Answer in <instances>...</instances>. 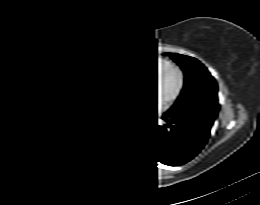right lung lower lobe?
Here are the masks:
<instances>
[{"label": "right lung lower lobe", "mask_w": 260, "mask_h": 205, "mask_svg": "<svg viewBox=\"0 0 260 205\" xmlns=\"http://www.w3.org/2000/svg\"><path fill=\"white\" fill-rule=\"evenodd\" d=\"M45 114L58 155L86 173L101 171L113 161L121 136L131 126L120 101L104 103L71 90L51 91Z\"/></svg>", "instance_id": "98d812e1"}]
</instances>
